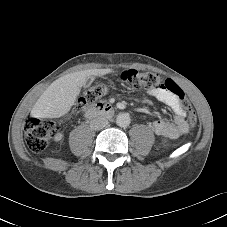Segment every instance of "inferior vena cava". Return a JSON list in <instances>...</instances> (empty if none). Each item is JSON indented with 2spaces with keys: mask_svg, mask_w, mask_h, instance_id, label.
<instances>
[{
  "mask_svg": "<svg viewBox=\"0 0 227 227\" xmlns=\"http://www.w3.org/2000/svg\"><path fill=\"white\" fill-rule=\"evenodd\" d=\"M108 125V120L104 117H97L90 121V127L94 130L103 129Z\"/></svg>",
  "mask_w": 227,
  "mask_h": 227,
  "instance_id": "obj_1",
  "label": "inferior vena cava"
}]
</instances>
